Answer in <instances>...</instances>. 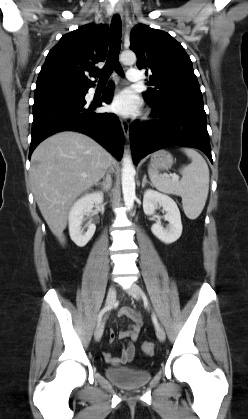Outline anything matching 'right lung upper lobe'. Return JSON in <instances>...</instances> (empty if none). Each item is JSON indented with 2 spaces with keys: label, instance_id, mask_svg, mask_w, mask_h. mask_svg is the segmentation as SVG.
<instances>
[{
  "label": "right lung upper lobe",
  "instance_id": "obj_1",
  "mask_svg": "<svg viewBox=\"0 0 248 419\" xmlns=\"http://www.w3.org/2000/svg\"><path fill=\"white\" fill-rule=\"evenodd\" d=\"M109 30L106 25L87 24L60 39L49 51L39 73L34 97L66 91H88L97 72L95 64L107 55Z\"/></svg>",
  "mask_w": 248,
  "mask_h": 419
}]
</instances>
